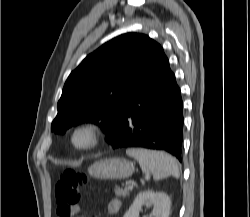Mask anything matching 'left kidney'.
Listing matches in <instances>:
<instances>
[{
	"label": "left kidney",
	"mask_w": 250,
	"mask_h": 217,
	"mask_svg": "<svg viewBox=\"0 0 250 217\" xmlns=\"http://www.w3.org/2000/svg\"><path fill=\"white\" fill-rule=\"evenodd\" d=\"M144 204L153 206L150 217H169L170 197L164 192H153L152 190L139 193L124 217H139V212Z\"/></svg>",
	"instance_id": "left-kidney-1"
}]
</instances>
